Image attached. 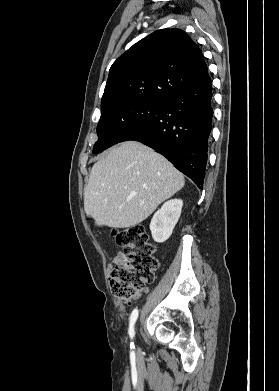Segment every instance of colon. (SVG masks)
<instances>
[{"label":"colon","instance_id":"colon-1","mask_svg":"<svg viewBox=\"0 0 279 391\" xmlns=\"http://www.w3.org/2000/svg\"><path fill=\"white\" fill-rule=\"evenodd\" d=\"M113 235L124 252L119 263L111 269V291L124 303H131L155 279L159 268V261L155 257L156 247L141 225L115 230Z\"/></svg>","mask_w":279,"mask_h":391}]
</instances>
